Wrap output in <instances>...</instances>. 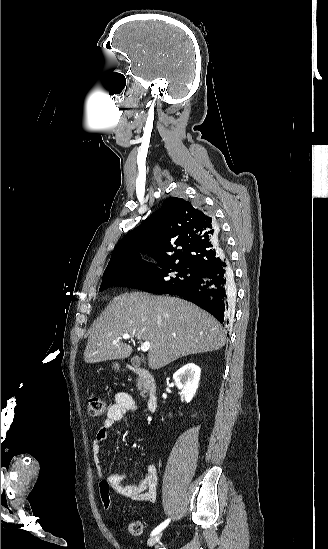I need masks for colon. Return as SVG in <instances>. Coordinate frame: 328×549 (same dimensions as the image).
Segmentation results:
<instances>
[{
  "label": "colon",
  "instance_id": "colon-1",
  "mask_svg": "<svg viewBox=\"0 0 328 549\" xmlns=\"http://www.w3.org/2000/svg\"><path fill=\"white\" fill-rule=\"evenodd\" d=\"M88 409L92 416H101L106 411V403L99 396L92 395L88 399ZM99 494L102 507L110 509L112 507L111 493L109 485L106 481H102L99 485ZM129 532L131 535L139 536L143 532V524L140 520H134L129 524Z\"/></svg>",
  "mask_w": 328,
  "mask_h": 549
}]
</instances>
